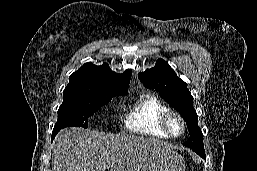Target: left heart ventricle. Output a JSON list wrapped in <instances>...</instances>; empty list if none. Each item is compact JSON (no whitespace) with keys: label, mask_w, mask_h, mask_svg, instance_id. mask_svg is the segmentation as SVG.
<instances>
[{"label":"left heart ventricle","mask_w":257,"mask_h":171,"mask_svg":"<svg viewBox=\"0 0 257 171\" xmlns=\"http://www.w3.org/2000/svg\"><path fill=\"white\" fill-rule=\"evenodd\" d=\"M171 128H172L174 133H179L180 132L181 125H180L179 121L176 118H173L171 120Z\"/></svg>","instance_id":"1"}]
</instances>
